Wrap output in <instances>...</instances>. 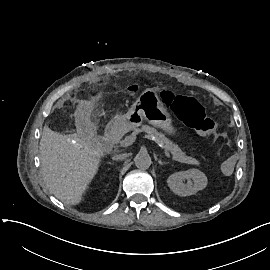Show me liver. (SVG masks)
<instances>
[{
  "mask_svg": "<svg viewBox=\"0 0 270 270\" xmlns=\"http://www.w3.org/2000/svg\"><path fill=\"white\" fill-rule=\"evenodd\" d=\"M44 126L40 140L42 175L49 191L66 204L81 201L98 171L102 151Z\"/></svg>",
  "mask_w": 270,
  "mask_h": 270,
  "instance_id": "6515ba94",
  "label": "liver"
}]
</instances>
